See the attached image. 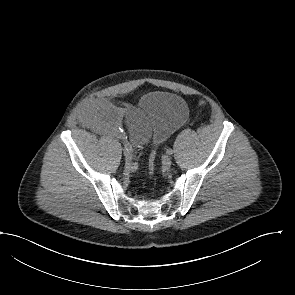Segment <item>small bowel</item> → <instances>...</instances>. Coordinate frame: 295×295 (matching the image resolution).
<instances>
[{
    "label": "small bowel",
    "instance_id": "c3829d8e",
    "mask_svg": "<svg viewBox=\"0 0 295 295\" xmlns=\"http://www.w3.org/2000/svg\"><path fill=\"white\" fill-rule=\"evenodd\" d=\"M119 116L125 117L130 140L135 148H141L149 141L151 125L138 109H117L106 100H97L82 114L86 124L104 133L114 131V120Z\"/></svg>",
    "mask_w": 295,
    "mask_h": 295
}]
</instances>
